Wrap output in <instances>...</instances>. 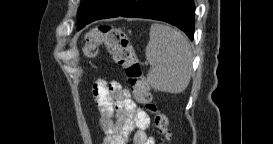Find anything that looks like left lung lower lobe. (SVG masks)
I'll use <instances>...</instances> for the list:
<instances>
[{
  "instance_id": "left-lung-lower-lobe-1",
  "label": "left lung lower lobe",
  "mask_w": 273,
  "mask_h": 144,
  "mask_svg": "<svg viewBox=\"0 0 273 144\" xmlns=\"http://www.w3.org/2000/svg\"><path fill=\"white\" fill-rule=\"evenodd\" d=\"M193 0H95L78 10L77 30L92 21L110 17H139L161 20L177 26L193 40Z\"/></svg>"
}]
</instances>
